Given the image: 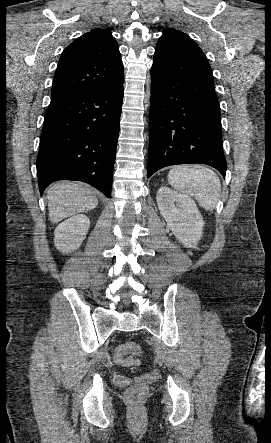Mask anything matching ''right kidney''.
I'll return each mask as SVG.
<instances>
[{
    "label": "right kidney",
    "mask_w": 271,
    "mask_h": 443,
    "mask_svg": "<svg viewBox=\"0 0 271 443\" xmlns=\"http://www.w3.org/2000/svg\"><path fill=\"white\" fill-rule=\"evenodd\" d=\"M90 220L85 214H77L69 220L59 223L54 231V241L57 249L70 253L80 247L89 229Z\"/></svg>",
    "instance_id": "obj_1"
}]
</instances>
